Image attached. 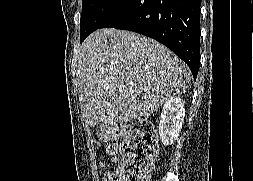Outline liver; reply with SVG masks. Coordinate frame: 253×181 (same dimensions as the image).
<instances>
[{"label": "liver", "instance_id": "6515ba94", "mask_svg": "<svg viewBox=\"0 0 253 181\" xmlns=\"http://www.w3.org/2000/svg\"><path fill=\"white\" fill-rule=\"evenodd\" d=\"M77 72L83 115L93 126L148 117L191 83L187 65L164 45L116 29L84 41Z\"/></svg>", "mask_w": 253, "mask_h": 181}]
</instances>
